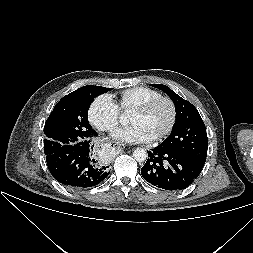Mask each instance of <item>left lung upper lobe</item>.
<instances>
[{
    "label": "left lung upper lobe",
    "mask_w": 253,
    "mask_h": 253,
    "mask_svg": "<svg viewBox=\"0 0 253 253\" xmlns=\"http://www.w3.org/2000/svg\"><path fill=\"white\" fill-rule=\"evenodd\" d=\"M151 85L165 92L176 108V122L171 134L160 146L204 165L208 141L206 128L198 110L169 87L162 84Z\"/></svg>",
    "instance_id": "obj_1"
}]
</instances>
